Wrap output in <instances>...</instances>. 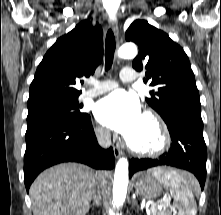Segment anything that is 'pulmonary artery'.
Masks as SVG:
<instances>
[{
  "label": "pulmonary artery",
  "instance_id": "obj_1",
  "mask_svg": "<svg viewBox=\"0 0 221 215\" xmlns=\"http://www.w3.org/2000/svg\"><path fill=\"white\" fill-rule=\"evenodd\" d=\"M120 79L123 83H134L137 81V75L134 70L125 68L121 71ZM118 87V83L114 80H104L95 85L94 88L83 93L82 98H92L103 93L109 92Z\"/></svg>",
  "mask_w": 221,
  "mask_h": 215
}]
</instances>
